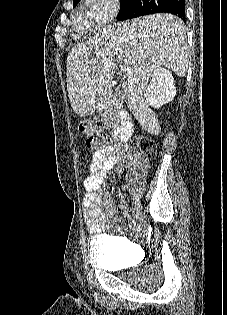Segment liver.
<instances>
[{
    "mask_svg": "<svg viewBox=\"0 0 227 315\" xmlns=\"http://www.w3.org/2000/svg\"><path fill=\"white\" fill-rule=\"evenodd\" d=\"M189 59L186 26L177 16L154 14L114 24L69 52L66 81L71 107L81 117L90 116L100 96L111 97L115 71L105 64L111 61L115 69L117 64L129 68L124 73L125 102L145 130L157 135V115L145 102L149 78L162 66L183 77Z\"/></svg>",
    "mask_w": 227,
    "mask_h": 315,
    "instance_id": "6515ba94",
    "label": "liver"
}]
</instances>
